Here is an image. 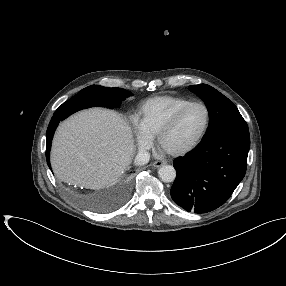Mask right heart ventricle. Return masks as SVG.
I'll list each match as a JSON object with an SVG mask.
<instances>
[{
  "label": "right heart ventricle",
  "mask_w": 286,
  "mask_h": 286,
  "mask_svg": "<svg viewBox=\"0 0 286 286\" xmlns=\"http://www.w3.org/2000/svg\"><path fill=\"white\" fill-rule=\"evenodd\" d=\"M191 99L178 96H155L146 100L140 108V124L151 136L158 134L161 127Z\"/></svg>",
  "instance_id": "1"
}]
</instances>
